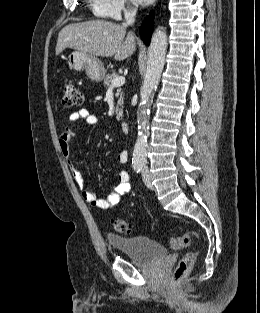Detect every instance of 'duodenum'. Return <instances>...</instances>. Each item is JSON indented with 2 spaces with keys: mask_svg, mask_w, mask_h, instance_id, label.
Returning a JSON list of instances; mask_svg holds the SVG:
<instances>
[{
  "mask_svg": "<svg viewBox=\"0 0 260 313\" xmlns=\"http://www.w3.org/2000/svg\"><path fill=\"white\" fill-rule=\"evenodd\" d=\"M122 130L125 134L129 133V123L127 121L122 122Z\"/></svg>",
  "mask_w": 260,
  "mask_h": 313,
  "instance_id": "410a0bca",
  "label": "duodenum"
}]
</instances>
